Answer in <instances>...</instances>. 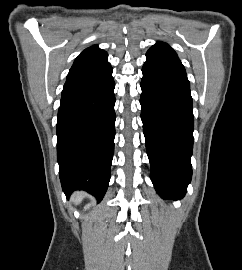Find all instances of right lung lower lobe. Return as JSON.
<instances>
[{"mask_svg": "<svg viewBox=\"0 0 242 270\" xmlns=\"http://www.w3.org/2000/svg\"><path fill=\"white\" fill-rule=\"evenodd\" d=\"M114 87L107 60L64 85L57 159L67 197L74 190H85L100 201L107 190L115 137Z\"/></svg>", "mask_w": 242, "mask_h": 270, "instance_id": "98d812e1", "label": "right lung lower lobe"}]
</instances>
